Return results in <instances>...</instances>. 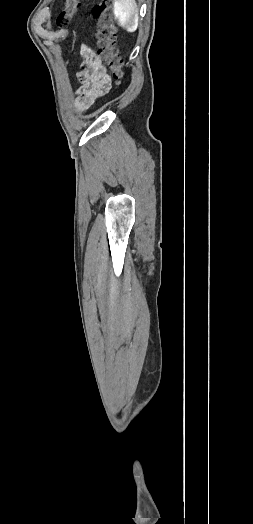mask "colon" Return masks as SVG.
Listing matches in <instances>:
<instances>
[{
  "label": "colon",
  "instance_id": "obj_1",
  "mask_svg": "<svg viewBox=\"0 0 253 524\" xmlns=\"http://www.w3.org/2000/svg\"><path fill=\"white\" fill-rule=\"evenodd\" d=\"M80 0H63L62 9L57 18L60 27L68 25L74 18ZM92 15L97 21L98 52L101 56L109 75L116 83L124 78L123 60L119 54L116 38L117 30L110 12L109 0H103L92 10Z\"/></svg>",
  "mask_w": 253,
  "mask_h": 524
}]
</instances>
